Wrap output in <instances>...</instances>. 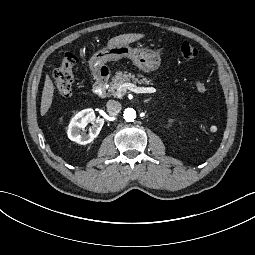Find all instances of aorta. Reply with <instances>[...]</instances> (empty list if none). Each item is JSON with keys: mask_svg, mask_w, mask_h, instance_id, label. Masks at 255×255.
<instances>
[{"mask_svg": "<svg viewBox=\"0 0 255 255\" xmlns=\"http://www.w3.org/2000/svg\"><path fill=\"white\" fill-rule=\"evenodd\" d=\"M123 116L127 122H133L136 119V111L133 108H126Z\"/></svg>", "mask_w": 255, "mask_h": 255, "instance_id": "obj_1", "label": "aorta"}]
</instances>
